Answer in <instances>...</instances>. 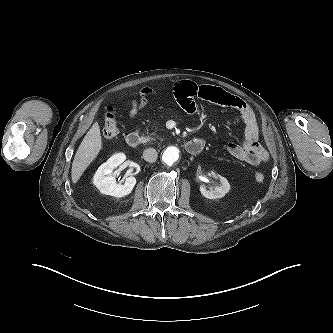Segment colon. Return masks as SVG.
Listing matches in <instances>:
<instances>
[{
  "instance_id": "colon-1",
  "label": "colon",
  "mask_w": 333,
  "mask_h": 333,
  "mask_svg": "<svg viewBox=\"0 0 333 333\" xmlns=\"http://www.w3.org/2000/svg\"><path fill=\"white\" fill-rule=\"evenodd\" d=\"M103 133L107 138H114L118 134V124L112 108H108L103 115ZM254 179L258 183L265 180L264 174L257 172Z\"/></svg>"
}]
</instances>
